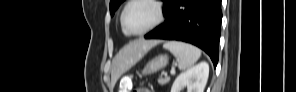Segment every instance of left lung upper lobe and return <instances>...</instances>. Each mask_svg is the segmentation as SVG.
<instances>
[{
  "mask_svg": "<svg viewBox=\"0 0 296 92\" xmlns=\"http://www.w3.org/2000/svg\"><path fill=\"white\" fill-rule=\"evenodd\" d=\"M124 0H111L110 1V13L111 16L114 15L115 11L119 7V5L123 2ZM165 3V6L168 4L169 0H162ZM165 8V7H164ZM164 10V9H163Z\"/></svg>",
  "mask_w": 296,
  "mask_h": 92,
  "instance_id": "left-lung-upper-lobe-1",
  "label": "left lung upper lobe"
}]
</instances>
